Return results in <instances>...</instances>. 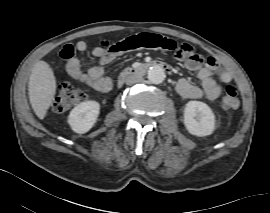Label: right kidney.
<instances>
[{"mask_svg":"<svg viewBox=\"0 0 270 213\" xmlns=\"http://www.w3.org/2000/svg\"><path fill=\"white\" fill-rule=\"evenodd\" d=\"M100 112L98 102L89 100L75 106L69 116L68 123L72 130L78 134L88 132L96 123Z\"/></svg>","mask_w":270,"mask_h":213,"instance_id":"ca27d5eb","label":"right kidney"}]
</instances>
